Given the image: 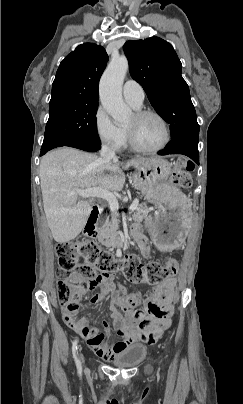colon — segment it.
<instances>
[{
	"instance_id": "1",
	"label": "colon",
	"mask_w": 243,
	"mask_h": 404,
	"mask_svg": "<svg viewBox=\"0 0 243 404\" xmlns=\"http://www.w3.org/2000/svg\"><path fill=\"white\" fill-rule=\"evenodd\" d=\"M192 170L191 162L179 160L173 171L174 183L183 189L189 188ZM55 251L61 273L58 300L73 315L78 311L79 301L96 285L101 275L117 271L132 283L159 284L177 273L174 259H168L165 265L156 261L143 263L136 255L115 259L91 240L60 242L56 244ZM138 304V294L131 293L124 297L122 307L124 310H134Z\"/></svg>"
}]
</instances>
